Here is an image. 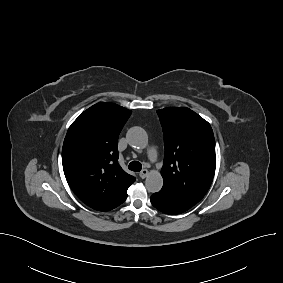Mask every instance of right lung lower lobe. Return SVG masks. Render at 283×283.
I'll return each instance as SVG.
<instances>
[{"label": "right lung lower lobe", "mask_w": 283, "mask_h": 283, "mask_svg": "<svg viewBox=\"0 0 283 283\" xmlns=\"http://www.w3.org/2000/svg\"><path fill=\"white\" fill-rule=\"evenodd\" d=\"M126 198H127V196H126ZM126 198H124V200H123L121 203H123V202L126 200ZM121 203H120V204H121ZM120 204H119V205H120ZM119 205H118V206H119ZM116 207H117V206H116ZM116 207H115V208H116Z\"/></svg>", "instance_id": "1"}]
</instances>
